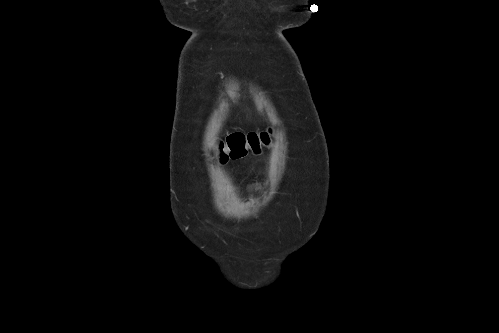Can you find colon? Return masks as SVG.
I'll list each match as a JSON object with an SVG mask.
<instances>
[{"mask_svg": "<svg viewBox=\"0 0 499 333\" xmlns=\"http://www.w3.org/2000/svg\"><path fill=\"white\" fill-rule=\"evenodd\" d=\"M269 143L270 132L268 131L230 135L225 142L218 144L220 161H225L228 158H240L248 152L259 153L263 148L268 147Z\"/></svg>", "mask_w": 499, "mask_h": 333, "instance_id": "colon-1", "label": "colon"}]
</instances>
